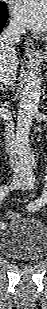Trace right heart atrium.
I'll return each mask as SVG.
<instances>
[{"instance_id":"obj_1","label":"right heart atrium","mask_w":47,"mask_h":309,"mask_svg":"<svg viewBox=\"0 0 47 309\" xmlns=\"http://www.w3.org/2000/svg\"><path fill=\"white\" fill-rule=\"evenodd\" d=\"M10 27H11V29L14 31V32H22V28H21V26L18 24V23H16L15 21H13L12 23H11V25H10Z\"/></svg>"}]
</instances>
